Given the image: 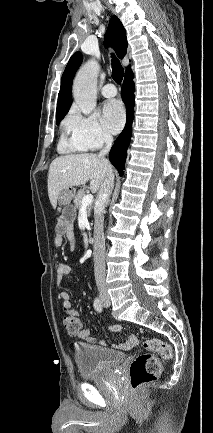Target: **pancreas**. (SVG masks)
Wrapping results in <instances>:
<instances>
[{
    "instance_id": "obj_1",
    "label": "pancreas",
    "mask_w": 213,
    "mask_h": 433,
    "mask_svg": "<svg viewBox=\"0 0 213 433\" xmlns=\"http://www.w3.org/2000/svg\"><path fill=\"white\" fill-rule=\"evenodd\" d=\"M85 196V191L84 190H79L77 192V194L74 196V204L75 207L77 209H81L82 208V199ZM86 210H87V215L90 216L91 215V210H92V205H88L86 206Z\"/></svg>"
}]
</instances>
